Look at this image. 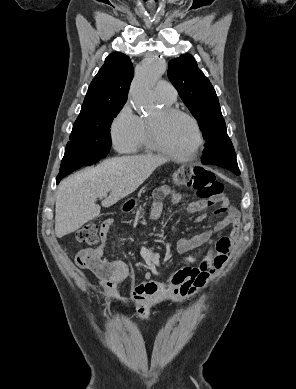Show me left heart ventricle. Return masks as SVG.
<instances>
[{
    "label": "left heart ventricle",
    "mask_w": 296,
    "mask_h": 389,
    "mask_svg": "<svg viewBox=\"0 0 296 389\" xmlns=\"http://www.w3.org/2000/svg\"><path fill=\"white\" fill-rule=\"evenodd\" d=\"M162 144L177 154H186L196 142L191 122L182 116H164L162 109L148 118Z\"/></svg>",
    "instance_id": "1"
}]
</instances>
